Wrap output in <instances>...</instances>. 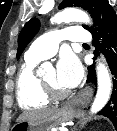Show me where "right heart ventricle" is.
Returning a JSON list of instances; mask_svg holds the SVG:
<instances>
[{"mask_svg": "<svg viewBox=\"0 0 117 131\" xmlns=\"http://www.w3.org/2000/svg\"><path fill=\"white\" fill-rule=\"evenodd\" d=\"M41 60L25 58L16 79L17 100L23 109H37L49 103L35 69Z\"/></svg>", "mask_w": 117, "mask_h": 131, "instance_id": "obj_1", "label": "right heart ventricle"}]
</instances>
